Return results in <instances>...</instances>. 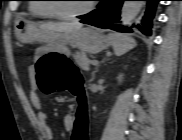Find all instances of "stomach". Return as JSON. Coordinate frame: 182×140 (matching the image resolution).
Segmentation results:
<instances>
[{"label": "stomach", "instance_id": "stomach-1", "mask_svg": "<svg viewBox=\"0 0 182 140\" xmlns=\"http://www.w3.org/2000/svg\"><path fill=\"white\" fill-rule=\"evenodd\" d=\"M14 30L16 38L20 42L31 43L34 41H46L49 43L51 51L62 55L70 54L67 45L77 47L83 52L96 54L111 44L108 37L94 27L81 28L70 33H48L35 23L24 18H18L15 21Z\"/></svg>", "mask_w": 182, "mask_h": 140}]
</instances>
